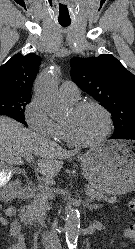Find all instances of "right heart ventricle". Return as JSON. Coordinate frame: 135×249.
<instances>
[{
  "mask_svg": "<svg viewBox=\"0 0 135 249\" xmlns=\"http://www.w3.org/2000/svg\"><path fill=\"white\" fill-rule=\"evenodd\" d=\"M56 137L67 140L65 129L62 123L56 124Z\"/></svg>",
  "mask_w": 135,
  "mask_h": 249,
  "instance_id": "obj_1",
  "label": "right heart ventricle"
}]
</instances>
